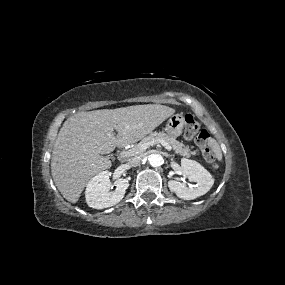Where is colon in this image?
<instances>
[{"label":"colon","instance_id":"obj_1","mask_svg":"<svg viewBox=\"0 0 285 285\" xmlns=\"http://www.w3.org/2000/svg\"><path fill=\"white\" fill-rule=\"evenodd\" d=\"M185 130L184 136L187 139H195L196 144L201 148L204 157L212 164L214 168L219 166L216 159L214 145L209 132L201 128L199 123L195 120L191 114L184 116Z\"/></svg>","mask_w":285,"mask_h":285}]
</instances>
